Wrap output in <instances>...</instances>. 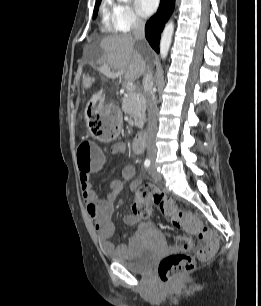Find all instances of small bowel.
<instances>
[{"instance_id": "obj_1", "label": "small bowel", "mask_w": 261, "mask_h": 306, "mask_svg": "<svg viewBox=\"0 0 261 306\" xmlns=\"http://www.w3.org/2000/svg\"><path fill=\"white\" fill-rule=\"evenodd\" d=\"M126 151V144L123 142H117L111 148V153L114 156L123 155L126 153ZM105 166L106 161L104 160L103 162L92 167L90 170L81 171L79 174L80 189L85 203L87 216L93 224L97 240L102 250L110 255H126L129 252L130 247L135 244L136 239L131 242L129 247L123 243L114 245L111 241L118 231L117 226L112 221V215L114 213V200L122 189L123 182L121 180L112 181L110 184V192L105 198H100L97 195L91 183V174L100 172ZM133 175V167L126 166L123 170V177L125 179H130ZM139 187L140 182L138 180H133L130 183V189L136 195H138ZM123 221L126 225L133 226L139 222V217L135 214H130L125 216Z\"/></svg>"}]
</instances>
